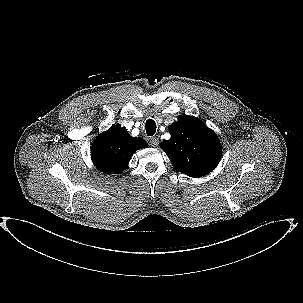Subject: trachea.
<instances>
[{
  "label": "trachea",
  "mask_w": 303,
  "mask_h": 303,
  "mask_svg": "<svg viewBox=\"0 0 303 303\" xmlns=\"http://www.w3.org/2000/svg\"><path fill=\"white\" fill-rule=\"evenodd\" d=\"M146 133H147V136H153L156 132V123L154 120L152 119H148L146 121Z\"/></svg>",
  "instance_id": "trachea-1"
}]
</instances>
